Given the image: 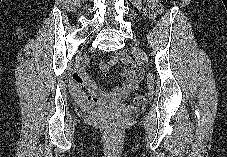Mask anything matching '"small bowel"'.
<instances>
[{
  "label": "small bowel",
  "instance_id": "c3829d8e",
  "mask_svg": "<svg viewBox=\"0 0 227 157\" xmlns=\"http://www.w3.org/2000/svg\"><path fill=\"white\" fill-rule=\"evenodd\" d=\"M112 61L104 62L102 68L108 70ZM125 82L122 86L116 87L112 92L107 93L98 88L96 83L84 72L78 71L73 75L70 83V92L74 100L84 108H97L101 106L105 101L124 99L135 88L140 71L130 66L124 72ZM85 86L89 94H87L82 87Z\"/></svg>",
  "mask_w": 227,
  "mask_h": 157
}]
</instances>
